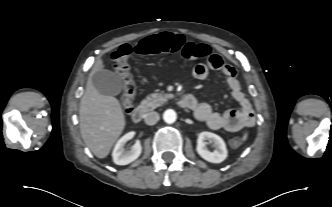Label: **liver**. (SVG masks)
Masks as SVG:
<instances>
[{"instance_id": "obj_1", "label": "liver", "mask_w": 332, "mask_h": 207, "mask_svg": "<svg viewBox=\"0 0 332 207\" xmlns=\"http://www.w3.org/2000/svg\"><path fill=\"white\" fill-rule=\"evenodd\" d=\"M102 68L103 61L99 59L90 73L79 108L83 141L101 159L109 154L126 125L120 102L111 95L100 94L92 83L93 74Z\"/></svg>"}]
</instances>
